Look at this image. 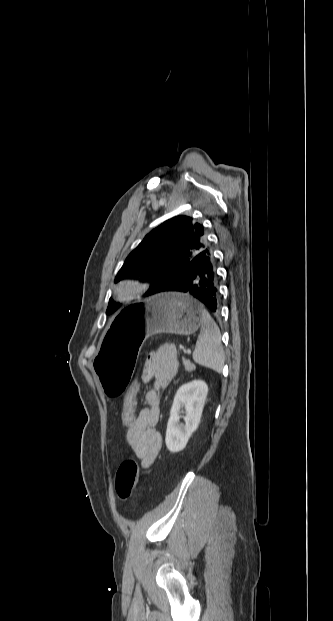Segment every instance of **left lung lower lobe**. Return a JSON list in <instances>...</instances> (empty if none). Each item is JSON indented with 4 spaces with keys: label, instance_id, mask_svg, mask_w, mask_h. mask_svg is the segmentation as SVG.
<instances>
[{
    "label": "left lung lower lobe",
    "instance_id": "0a47b994",
    "mask_svg": "<svg viewBox=\"0 0 333 621\" xmlns=\"http://www.w3.org/2000/svg\"><path fill=\"white\" fill-rule=\"evenodd\" d=\"M171 291L184 292L193 296L212 314L218 315L217 275L211 247L202 249L194 256L185 271L167 283L160 293Z\"/></svg>",
    "mask_w": 333,
    "mask_h": 621
}]
</instances>
